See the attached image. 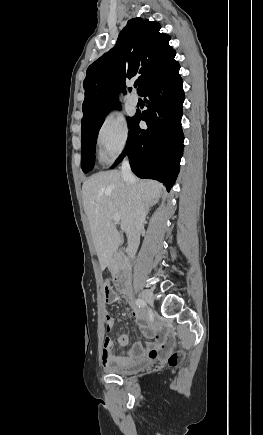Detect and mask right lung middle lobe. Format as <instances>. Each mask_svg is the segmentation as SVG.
I'll list each match as a JSON object with an SVG mask.
<instances>
[{
	"instance_id": "dd1d6c3e",
	"label": "right lung middle lobe",
	"mask_w": 263,
	"mask_h": 435,
	"mask_svg": "<svg viewBox=\"0 0 263 435\" xmlns=\"http://www.w3.org/2000/svg\"><path fill=\"white\" fill-rule=\"evenodd\" d=\"M113 108V107H112ZM111 108V109H112ZM109 109L104 113L96 122L92 125L82 128L81 130V159H82V170L88 172L92 169L95 159V145L98 136L99 129L104 121L106 114L111 110ZM133 117H129V124L132 122Z\"/></svg>"
}]
</instances>
